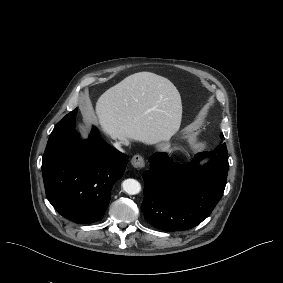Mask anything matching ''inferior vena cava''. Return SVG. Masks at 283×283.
<instances>
[{"label":"inferior vena cava","mask_w":283,"mask_h":283,"mask_svg":"<svg viewBox=\"0 0 283 283\" xmlns=\"http://www.w3.org/2000/svg\"><path fill=\"white\" fill-rule=\"evenodd\" d=\"M114 146L119 150V151H121L122 152V149L121 148H119V146H118V144H114Z\"/></svg>","instance_id":"obj_1"}]
</instances>
